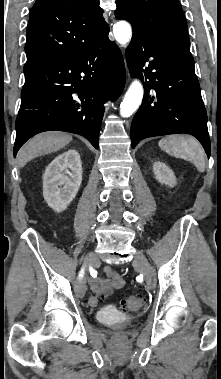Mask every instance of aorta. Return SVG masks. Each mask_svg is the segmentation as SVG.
Masks as SVG:
<instances>
[{
	"label": "aorta",
	"instance_id": "1",
	"mask_svg": "<svg viewBox=\"0 0 221 379\" xmlns=\"http://www.w3.org/2000/svg\"><path fill=\"white\" fill-rule=\"evenodd\" d=\"M115 39L121 45H126L131 40V26L126 21H119L113 26ZM143 99V86L139 80H134L120 105L122 117L131 116L139 107Z\"/></svg>",
	"mask_w": 221,
	"mask_h": 379
}]
</instances>
